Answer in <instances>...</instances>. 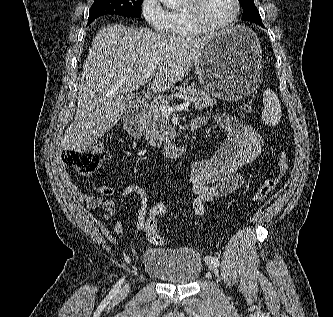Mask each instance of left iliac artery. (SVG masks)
I'll return each mask as SVG.
<instances>
[{
  "label": "left iliac artery",
  "instance_id": "1",
  "mask_svg": "<svg viewBox=\"0 0 333 317\" xmlns=\"http://www.w3.org/2000/svg\"><path fill=\"white\" fill-rule=\"evenodd\" d=\"M205 261H206L207 263H213V264H216V265L219 266V260H218L217 258H215V257H212V256H206V257H205Z\"/></svg>",
  "mask_w": 333,
  "mask_h": 317
}]
</instances>
